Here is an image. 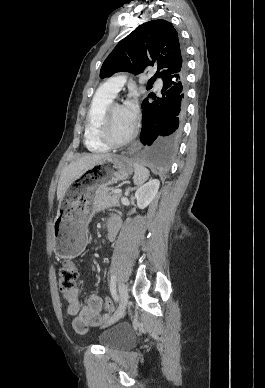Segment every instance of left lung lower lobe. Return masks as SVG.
I'll list each match as a JSON object with an SVG mask.
<instances>
[{
	"mask_svg": "<svg viewBox=\"0 0 265 388\" xmlns=\"http://www.w3.org/2000/svg\"><path fill=\"white\" fill-rule=\"evenodd\" d=\"M142 104L140 140L142 158L158 169L169 168L182 133L186 111V69L163 79L159 94L149 95Z\"/></svg>",
	"mask_w": 265,
	"mask_h": 388,
	"instance_id": "1",
	"label": "left lung lower lobe"
}]
</instances>
